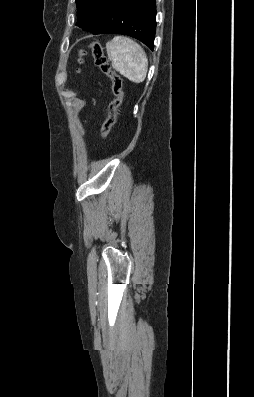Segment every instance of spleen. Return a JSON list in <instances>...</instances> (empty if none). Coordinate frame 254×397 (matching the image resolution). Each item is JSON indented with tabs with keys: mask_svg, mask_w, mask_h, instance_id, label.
<instances>
[{
	"mask_svg": "<svg viewBox=\"0 0 254 397\" xmlns=\"http://www.w3.org/2000/svg\"><path fill=\"white\" fill-rule=\"evenodd\" d=\"M112 67L134 83H142L148 71V59L143 48L130 38L116 36L106 44Z\"/></svg>",
	"mask_w": 254,
	"mask_h": 397,
	"instance_id": "1",
	"label": "spleen"
}]
</instances>
